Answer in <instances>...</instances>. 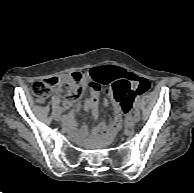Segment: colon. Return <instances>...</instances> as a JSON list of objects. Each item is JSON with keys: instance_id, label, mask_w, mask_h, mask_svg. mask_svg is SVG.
<instances>
[{"instance_id": "obj_1", "label": "colon", "mask_w": 194, "mask_h": 193, "mask_svg": "<svg viewBox=\"0 0 194 193\" xmlns=\"http://www.w3.org/2000/svg\"><path fill=\"white\" fill-rule=\"evenodd\" d=\"M82 79V74L80 72H74L65 77H51L43 81H36L31 85V92L38 101H44L50 90L58 85L65 86V96L68 99L76 100L82 94V87L80 85ZM136 82V86L134 83ZM146 83L143 80H138L132 75H121L117 78V81L112 83L108 92L114 98L119 100L118 91L122 90L125 96H133L135 92L143 91L146 87ZM95 89L98 91L100 85H95ZM122 107L126 111H129L131 103L127 101H122ZM127 125L131 124L130 118L126 120Z\"/></svg>"}]
</instances>
